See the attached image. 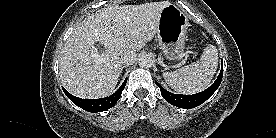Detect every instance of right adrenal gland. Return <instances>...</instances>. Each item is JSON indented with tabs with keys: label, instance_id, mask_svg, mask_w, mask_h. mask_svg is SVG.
<instances>
[{
	"label": "right adrenal gland",
	"instance_id": "2a0ac1e0",
	"mask_svg": "<svg viewBox=\"0 0 276 138\" xmlns=\"http://www.w3.org/2000/svg\"><path fill=\"white\" fill-rule=\"evenodd\" d=\"M125 67H126V66H123V67L121 68L120 75H121V73H122V70H123Z\"/></svg>",
	"mask_w": 276,
	"mask_h": 138
}]
</instances>
